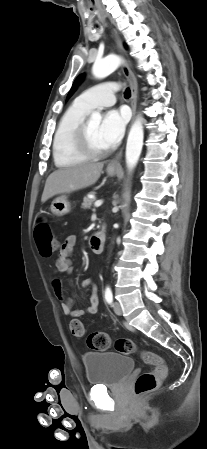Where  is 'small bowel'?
Wrapping results in <instances>:
<instances>
[{
    "mask_svg": "<svg viewBox=\"0 0 207 449\" xmlns=\"http://www.w3.org/2000/svg\"><path fill=\"white\" fill-rule=\"evenodd\" d=\"M76 245V237L74 235H70L66 238V240L62 243L59 249V254L57 259L55 260V269L59 272H65L70 274L73 270L71 256ZM94 282L92 278H86L82 281L81 287L86 288L89 286H93ZM53 290L57 297L63 299L62 302V310L65 315L80 317L83 315H94L98 310V297L95 292L90 295L89 304L83 309H73L74 304V296L72 295L68 298H63V286L62 282L59 279L53 280Z\"/></svg>",
    "mask_w": 207,
    "mask_h": 449,
    "instance_id": "obj_1",
    "label": "small bowel"
}]
</instances>
